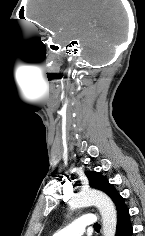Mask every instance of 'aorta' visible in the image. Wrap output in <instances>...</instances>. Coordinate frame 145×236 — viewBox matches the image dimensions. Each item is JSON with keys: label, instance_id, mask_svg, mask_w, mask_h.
Returning <instances> with one entry per match:
<instances>
[{"label": "aorta", "instance_id": "obj_1", "mask_svg": "<svg viewBox=\"0 0 145 236\" xmlns=\"http://www.w3.org/2000/svg\"><path fill=\"white\" fill-rule=\"evenodd\" d=\"M71 211L81 207L95 205L98 207L103 224V236H115L117 226L116 209L111 199L97 190H82L69 201Z\"/></svg>", "mask_w": 145, "mask_h": 236}]
</instances>
